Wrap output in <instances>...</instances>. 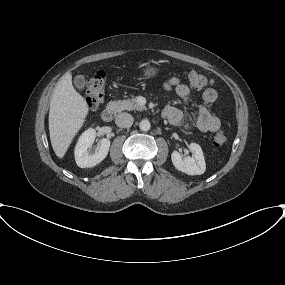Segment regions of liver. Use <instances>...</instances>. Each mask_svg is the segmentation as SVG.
<instances>
[{"instance_id":"obj_1","label":"liver","mask_w":285,"mask_h":285,"mask_svg":"<svg viewBox=\"0 0 285 285\" xmlns=\"http://www.w3.org/2000/svg\"><path fill=\"white\" fill-rule=\"evenodd\" d=\"M88 112L85 99L72 85L71 73L64 74L54 89L49 110L50 140L57 157H64Z\"/></svg>"}]
</instances>
